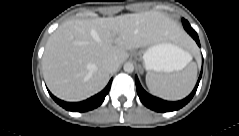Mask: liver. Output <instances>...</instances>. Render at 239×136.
Wrapping results in <instances>:
<instances>
[{
  "label": "liver",
  "instance_id": "6515ba94",
  "mask_svg": "<svg viewBox=\"0 0 239 136\" xmlns=\"http://www.w3.org/2000/svg\"><path fill=\"white\" fill-rule=\"evenodd\" d=\"M184 40L180 25L157 11L92 20H69L50 36L42 59L50 91L65 101H82L100 92L110 73L102 63L121 65L128 51L160 41Z\"/></svg>",
  "mask_w": 239,
  "mask_h": 136
}]
</instances>
